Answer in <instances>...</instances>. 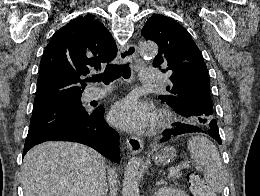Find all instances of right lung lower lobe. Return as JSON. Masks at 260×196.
Wrapping results in <instances>:
<instances>
[{"label":"right lung lower lobe","mask_w":260,"mask_h":196,"mask_svg":"<svg viewBox=\"0 0 260 196\" xmlns=\"http://www.w3.org/2000/svg\"><path fill=\"white\" fill-rule=\"evenodd\" d=\"M103 114L104 109L98 107L85 121L27 136L23 156L33 146L45 141H72L90 146L106 158L119 162V136L105 122Z\"/></svg>","instance_id":"obj_1"}]
</instances>
